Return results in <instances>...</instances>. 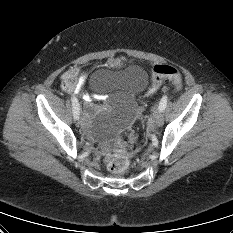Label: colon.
Segmentation results:
<instances>
[{
  "label": "colon",
  "instance_id": "obj_1",
  "mask_svg": "<svg viewBox=\"0 0 233 233\" xmlns=\"http://www.w3.org/2000/svg\"><path fill=\"white\" fill-rule=\"evenodd\" d=\"M170 79L176 90L182 87V78L179 71L170 65L160 64L154 67L151 84L148 88L147 95H153L160 87L164 79ZM63 85L67 90L73 89L75 86V74L68 72L63 77ZM118 151L114 153L107 162V168L111 173H124L129 167V160L126 156L127 142L120 138L116 142Z\"/></svg>",
  "mask_w": 233,
  "mask_h": 233
}]
</instances>
